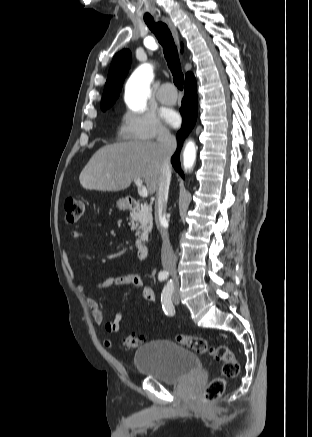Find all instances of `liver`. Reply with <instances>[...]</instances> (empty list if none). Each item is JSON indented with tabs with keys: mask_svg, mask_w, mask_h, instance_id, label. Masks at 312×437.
I'll list each match as a JSON object with an SVG mask.
<instances>
[{
	"mask_svg": "<svg viewBox=\"0 0 312 437\" xmlns=\"http://www.w3.org/2000/svg\"><path fill=\"white\" fill-rule=\"evenodd\" d=\"M159 173V144L133 140L100 148L83 168L79 181L87 190L116 192L127 189L139 177L154 194Z\"/></svg>",
	"mask_w": 312,
	"mask_h": 437,
	"instance_id": "obj_1",
	"label": "liver"
}]
</instances>
